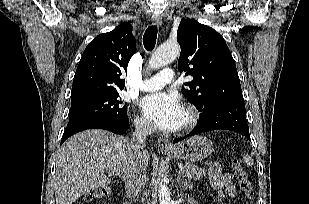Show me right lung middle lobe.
Wrapping results in <instances>:
<instances>
[{
  "label": "right lung middle lobe",
  "mask_w": 309,
  "mask_h": 204,
  "mask_svg": "<svg viewBox=\"0 0 309 204\" xmlns=\"http://www.w3.org/2000/svg\"><path fill=\"white\" fill-rule=\"evenodd\" d=\"M122 103L118 92L73 103L69 112V121L87 116H98L120 123H128L127 107L122 106Z\"/></svg>",
  "instance_id": "right-lung-middle-lobe-1"
}]
</instances>
